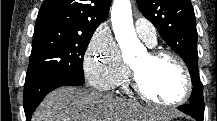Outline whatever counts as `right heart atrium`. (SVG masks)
I'll return each instance as SVG.
<instances>
[{
  "mask_svg": "<svg viewBox=\"0 0 217 121\" xmlns=\"http://www.w3.org/2000/svg\"><path fill=\"white\" fill-rule=\"evenodd\" d=\"M88 82L96 89H114L128 74L114 40L105 33H97L90 41L83 58Z\"/></svg>",
  "mask_w": 217,
  "mask_h": 121,
  "instance_id": "right-heart-atrium-1",
  "label": "right heart atrium"
}]
</instances>
